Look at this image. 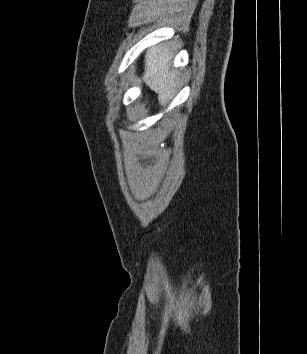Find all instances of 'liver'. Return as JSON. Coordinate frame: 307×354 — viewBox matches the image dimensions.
I'll use <instances>...</instances> for the list:
<instances>
[{"label":"liver","instance_id":"liver-1","mask_svg":"<svg viewBox=\"0 0 307 354\" xmlns=\"http://www.w3.org/2000/svg\"><path fill=\"white\" fill-rule=\"evenodd\" d=\"M173 53L165 45L150 48L145 55L143 79L158 93L159 102L165 106L175 95L178 72L170 69Z\"/></svg>","mask_w":307,"mask_h":354}]
</instances>
